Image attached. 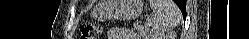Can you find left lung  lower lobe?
Returning a JSON list of instances; mask_svg holds the SVG:
<instances>
[{
    "instance_id": "1",
    "label": "left lung lower lobe",
    "mask_w": 249,
    "mask_h": 39,
    "mask_svg": "<svg viewBox=\"0 0 249 39\" xmlns=\"http://www.w3.org/2000/svg\"><path fill=\"white\" fill-rule=\"evenodd\" d=\"M175 2L177 3L181 12L183 13V16H185L186 15V9H185L186 1L185 0H175Z\"/></svg>"
}]
</instances>
